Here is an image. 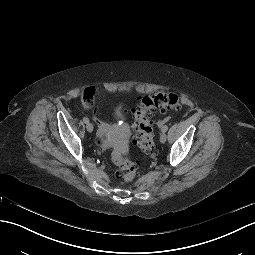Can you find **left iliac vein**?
Returning <instances> with one entry per match:
<instances>
[{
  "instance_id": "4c4485c4",
  "label": "left iliac vein",
  "mask_w": 255,
  "mask_h": 255,
  "mask_svg": "<svg viewBox=\"0 0 255 255\" xmlns=\"http://www.w3.org/2000/svg\"><path fill=\"white\" fill-rule=\"evenodd\" d=\"M166 139H167V136H166L165 132L161 133V135H160V142L161 143H165Z\"/></svg>"
}]
</instances>
